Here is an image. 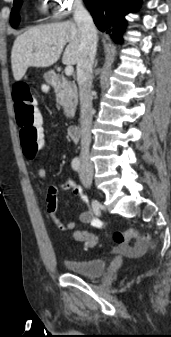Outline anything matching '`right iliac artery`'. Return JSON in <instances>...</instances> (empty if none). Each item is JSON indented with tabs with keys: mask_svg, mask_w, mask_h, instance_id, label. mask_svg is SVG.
<instances>
[{
	"mask_svg": "<svg viewBox=\"0 0 171 337\" xmlns=\"http://www.w3.org/2000/svg\"><path fill=\"white\" fill-rule=\"evenodd\" d=\"M72 168L75 170V171H78L80 169V160L79 158H74L72 160ZM92 207L94 209V211L96 212L97 215H100V205L99 203L96 201V200H93L92 201Z\"/></svg>",
	"mask_w": 171,
	"mask_h": 337,
	"instance_id": "obj_1",
	"label": "right iliac artery"
}]
</instances>
